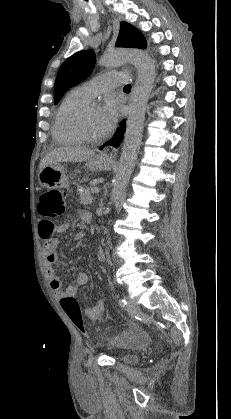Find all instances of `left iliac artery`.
Here are the masks:
<instances>
[{
	"instance_id": "1",
	"label": "left iliac artery",
	"mask_w": 231,
	"mask_h": 419,
	"mask_svg": "<svg viewBox=\"0 0 231 419\" xmlns=\"http://www.w3.org/2000/svg\"><path fill=\"white\" fill-rule=\"evenodd\" d=\"M119 305L121 307H124L125 305H127V301L125 299H121V300H119Z\"/></svg>"
}]
</instances>
